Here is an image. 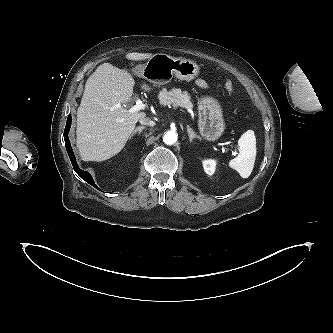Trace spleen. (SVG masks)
I'll return each instance as SVG.
<instances>
[{
  "instance_id": "obj_1",
  "label": "spleen",
  "mask_w": 333,
  "mask_h": 333,
  "mask_svg": "<svg viewBox=\"0 0 333 333\" xmlns=\"http://www.w3.org/2000/svg\"><path fill=\"white\" fill-rule=\"evenodd\" d=\"M239 154L230 160L229 166L242 178H248L253 170L256 158V138L252 130L246 131L238 141Z\"/></svg>"
}]
</instances>
